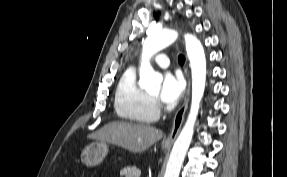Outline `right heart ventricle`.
I'll use <instances>...</instances> for the list:
<instances>
[{"label":"right heart ventricle","instance_id":"1","mask_svg":"<svg viewBox=\"0 0 287 177\" xmlns=\"http://www.w3.org/2000/svg\"><path fill=\"white\" fill-rule=\"evenodd\" d=\"M114 108L124 121L151 123L157 119L149 95L137 82L134 68H128L120 78L115 90Z\"/></svg>","mask_w":287,"mask_h":177}]
</instances>
